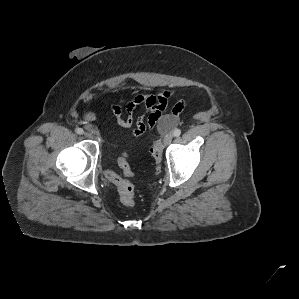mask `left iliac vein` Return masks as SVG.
Returning a JSON list of instances; mask_svg holds the SVG:
<instances>
[{"mask_svg":"<svg viewBox=\"0 0 299 299\" xmlns=\"http://www.w3.org/2000/svg\"><path fill=\"white\" fill-rule=\"evenodd\" d=\"M172 139H173V134L172 133H167L164 137V140H163L164 144L169 145L171 143Z\"/></svg>","mask_w":299,"mask_h":299,"instance_id":"obj_1","label":"left iliac vein"}]
</instances>
